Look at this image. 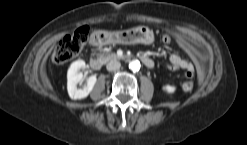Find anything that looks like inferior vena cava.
Returning a JSON list of instances; mask_svg holds the SVG:
<instances>
[{"label":"inferior vena cava","mask_w":247,"mask_h":145,"mask_svg":"<svg viewBox=\"0 0 247 145\" xmlns=\"http://www.w3.org/2000/svg\"><path fill=\"white\" fill-rule=\"evenodd\" d=\"M121 67V63L117 60H111L110 62L107 63V70L108 71H116L119 70Z\"/></svg>","instance_id":"inferior-vena-cava-1"}]
</instances>
